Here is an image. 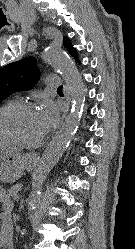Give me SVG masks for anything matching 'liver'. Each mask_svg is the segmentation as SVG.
Returning a JSON list of instances; mask_svg holds the SVG:
<instances>
[{"label":"liver","mask_w":135,"mask_h":249,"mask_svg":"<svg viewBox=\"0 0 135 249\" xmlns=\"http://www.w3.org/2000/svg\"><path fill=\"white\" fill-rule=\"evenodd\" d=\"M9 149L12 150V151L18 152V150L15 149V148H9Z\"/></svg>","instance_id":"obj_1"}]
</instances>
